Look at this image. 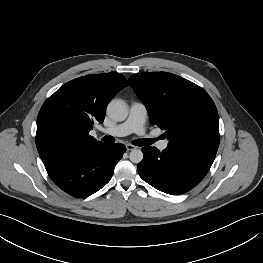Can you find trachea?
Here are the masks:
<instances>
[{"mask_svg": "<svg viewBox=\"0 0 263 263\" xmlns=\"http://www.w3.org/2000/svg\"><path fill=\"white\" fill-rule=\"evenodd\" d=\"M103 141L105 142H114L115 139L110 136V135H106L102 138ZM155 141V139H137V140H134L133 141V144L134 145H137V146H147V145H150L152 144L153 142Z\"/></svg>", "mask_w": 263, "mask_h": 263, "instance_id": "1", "label": "trachea"}]
</instances>
